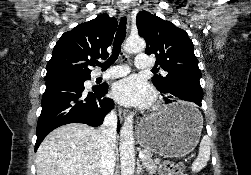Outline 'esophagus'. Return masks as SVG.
<instances>
[{
  "label": "esophagus",
  "instance_id": "34e87169",
  "mask_svg": "<svg viewBox=\"0 0 251 175\" xmlns=\"http://www.w3.org/2000/svg\"><path fill=\"white\" fill-rule=\"evenodd\" d=\"M122 10L124 11V8H122ZM123 14H125V12H123ZM126 116H127V111L123 110V109H120L119 110V117H120V119L122 120V119L126 118Z\"/></svg>",
  "mask_w": 251,
  "mask_h": 175
}]
</instances>
